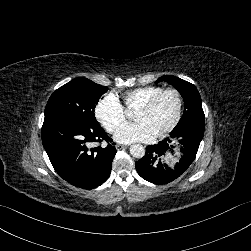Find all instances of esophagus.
<instances>
[{
  "mask_svg": "<svg viewBox=\"0 0 251 251\" xmlns=\"http://www.w3.org/2000/svg\"><path fill=\"white\" fill-rule=\"evenodd\" d=\"M124 147H125V146L122 145V144H117V145H116V149H117L118 151L122 150Z\"/></svg>",
  "mask_w": 251,
  "mask_h": 251,
  "instance_id": "esophagus-1",
  "label": "esophagus"
}]
</instances>
